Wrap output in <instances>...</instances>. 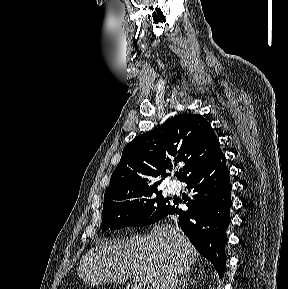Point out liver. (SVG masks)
<instances>
[{"label": "liver", "mask_w": 288, "mask_h": 289, "mask_svg": "<svg viewBox=\"0 0 288 289\" xmlns=\"http://www.w3.org/2000/svg\"><path fill=\"white\" fill-rule=\"evenodd\" d=\"M199 253L170 224L155 225L147 236H134L118 242L101 241L81 260L77 273L91 286L125 283L130 276L139 289H160L165 273L189 271Z\"/></svg>", "instance_id": "obj_1"}]
</instances>
